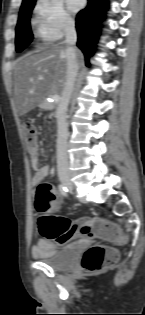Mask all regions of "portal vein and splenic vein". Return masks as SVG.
<instances>
[{
  "mask_svg": "<svg viewBox=\"0 0 145 315\" xmlns=\"http://www.w3.org/2000/svg\"><path fill=\"white\" fill-rule=\"evenodd\" d=\"M39 79H42V78H39ZM53 100L55 101H58L59 100V96L57 94L53 95L52 96Z\"/></svg>",
  "mask_w": 145,
  "mask_h": 315,
  "instance_id": "obj_1",
  "label": "portal vein and splenic vein"
}]
</instances>
